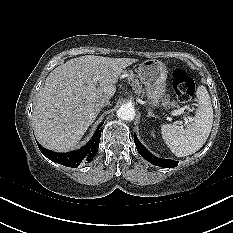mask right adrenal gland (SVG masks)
<instances>
[{
    "instance_id": "1",
    "label": "right adrenal gland",
    "mask_w": 233,
    "mask_h": 233,
    "mask_svg": "<svg viewBox=\"0 0 233 233\" xmlns=\"http://www.w3.org/2000/svg\"><path fill=\"white\" fill-rule=\"evenodd\" d=\"M100 110H101V109H98V110H97L96 116L98 115V113L100 112ZM94 120H95V119H93V121H94ZM93 121L91 122V124L93 123Z\"/></svg>"
}]
</instances>
